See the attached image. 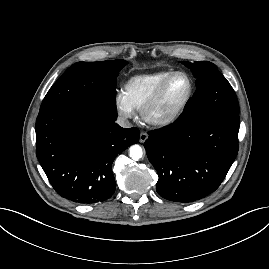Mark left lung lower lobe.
I'll use <instances>...</instances> for the list:
<instances>
[{"label": "left lung lower lobe", "mask_w": 269, "mask_h": 269, "mask_svg": "<svg viewBox=\"0 0 269 269\" xmlns=\"http://www.w3.org/2000/svg\"><path fill=\"white\" fill-rule=\"evenodd\" d=\"M239 115L209 113L151 131L144 146L157 170L158 194L189 203L214 192L224 180L238 152Z\"/></svg>", "instance_id": "0a47b994"}]
</instances>
